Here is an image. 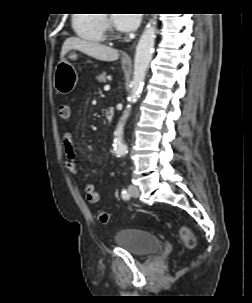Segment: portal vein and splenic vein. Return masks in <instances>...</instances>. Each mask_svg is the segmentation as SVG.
<instances>
[{
    "instance_id": "18ae733b",
    "label": "portal vein and splenic vein",
    "mask_w": 252,
    "mask_h": 303,
    "mask_svg": "<svg viewBox=\"0 0 252 303\" xmlns=\"http://www.w3.org/2000/svg\"><path fill=\"white\" fill-rule=\"evenodd\" d=\"M104 90H105V91H109V90H110V86H109V85H105V86H104Z\"/></svg>"
}]
</instances>
